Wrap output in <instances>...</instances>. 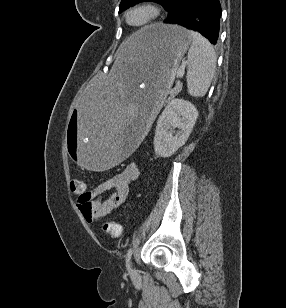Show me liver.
Listing matches in <instances>:
<instances>
[{
	"mask_svg": "<svg viewBox=\"0 0 286 308\" xmlns=\"http://www.w3.org/2000/svg\"><path fill=\"white\" fill-rule=\"evenodd\" d=\"M139 43L140 38L137 33H134L130 37H128L118 49V59L128 61L132 60L135 56Z\"/></svg>",
	"mask_w": 286,
	"mask_h": 308,
	"instance_id": "obj_1",
	"label": "liver"
}]
</instances>
